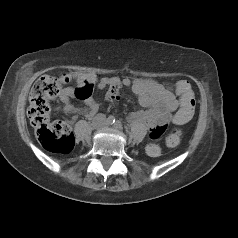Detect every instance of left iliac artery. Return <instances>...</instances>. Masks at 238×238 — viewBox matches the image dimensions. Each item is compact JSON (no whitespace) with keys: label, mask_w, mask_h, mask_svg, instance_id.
<instances>
[{"label":"left iliac artery","mask_w":238,"mask_h":238,"mask_svg":"<svg viewBox=\"0 0 238 238\" xmlns=\"http://www.w3.org/2000/svg\"><path fill=\"white\" fill-rule=\"evenodd\" d=\"M114 126L115 128H119V129L121 128V124L119 122H116Z\"/></svg>","instance_id":"left-iliac-artery-1"}]
</instances>
